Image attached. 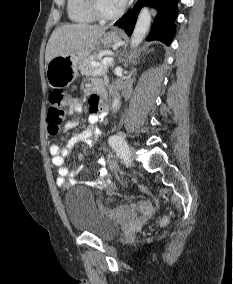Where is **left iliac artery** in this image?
Listing matches in <instances>:
<instances>
[{
  "mask_svg": "<svg viewBox=\"0 0 233 284\" xmlns=\"http://www.w3.org/2000/svg\"><path fill=\"white\" fill-rule=\"evenodd\" d=\"M109 144L115 149L118 156L125 157L128 152L129 146L123 137L114 135L110 137Z\"/></svg>",
  "mask_w": 233,
  "mask_h": 284,
  "instance_id": "obj_1",
  "label": "left iliac artery"
}]
</instances>
